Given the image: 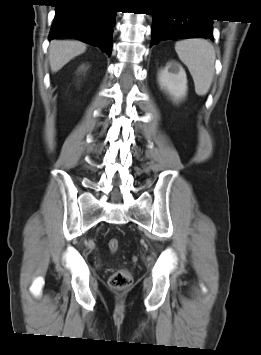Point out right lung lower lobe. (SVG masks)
Instances as JSON below:
<instances>
[{
    "label": "right lung lower lobe",
    "mask_w": 261,
    "mask_h": 355,
    "mask_svg": "<svg viewBox=\"0 0 261 355\" xmlns=\"http://www.w3.org/2000/svg\"><path fill=\"white\" fill-rule=\"evenodd\" d=\"M49 40L75 38L103 49L109 56L115 11L103 0H58Z\"/></svg>",
    "instance_id": "obj_1"
}]
</instances>
